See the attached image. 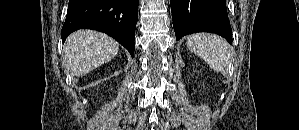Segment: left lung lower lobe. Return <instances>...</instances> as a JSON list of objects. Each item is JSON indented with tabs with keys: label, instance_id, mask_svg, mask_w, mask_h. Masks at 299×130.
Segmentation results:
<instances>
[{
	"label": "left lung lower lobe",
	"instance_id": "obj_1",
	"mask_svg": "<svg viewBox=\"0 0 299 130\" xmlns=\"http://www.w3.org/2000/svg\"><path fill=\"white\" fill-rule=\"evenodd\" d=\"M170 3L177 40L196 32H210L232 43L225 0H170Z\"/></svg>",
	"mask_w": 299,
	"mask_h": 130
}]
</instances>
